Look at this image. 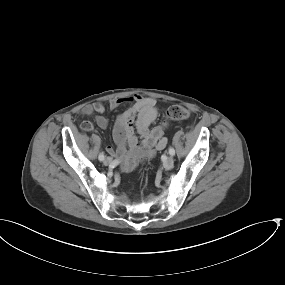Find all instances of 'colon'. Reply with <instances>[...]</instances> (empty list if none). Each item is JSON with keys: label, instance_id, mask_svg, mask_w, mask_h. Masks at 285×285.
Here are the masks:
<instances>
[{"label": "colon", "instance_id": "5ec220e1", "mask_svg": "<svg viewBox=\"0 0 285 285\" xmlns=\"http://www.w3.org/2000/svg\"><path fill=\"white\" fill-rule=\"evenodd\" d=\"M189 115L188 110L181 105H173L167 110V116L172 120H182Z\"/></svg>", "mask_w": 285, "mask_h": 285}]
</instances>
